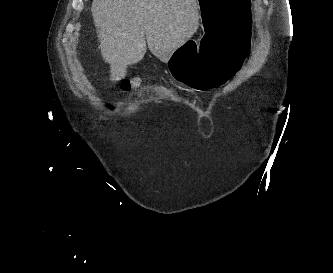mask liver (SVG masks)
Wrapping results in <instances>:
<instances>
[{
	"label": "liver",
	"mask_w": 333,
	"mask_h": 273,
	"mask_svg": "<svg viewBox=\"0 0 333 273\" xmlns=\"http://www.w3.org/2000/svg\"><path fill=\"white\" fill-rule=\"evenodd\" d=\"M198 0H93L92 17L110 80L126 76L147 49L167 63L199 27Z\"/></svg>",
	"instance_id": "liver-1"
}]
</instances>
